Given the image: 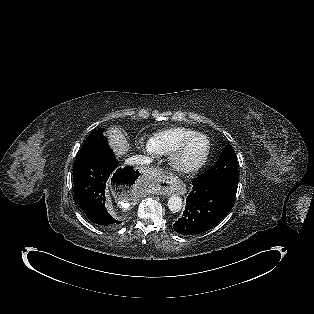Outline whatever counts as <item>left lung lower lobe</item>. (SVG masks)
Wrapping results in <instances>:
<instances>
[{"instance_id":"obj_1","label":"left lung lower lobe","mask_w":314,"mask_h":314,"mask_svg":"<svg viewBox=\"0 0 314 314\" xmlns=\"http://www.w3.org/2000/svg\"><path fill=\"white\" fill-rule=\"evenodd\" d=\"M238 177H204L193 180L185 211L173 225L181 235H192L213 228L232 209Z\"/></svg>"}]
</instances>
